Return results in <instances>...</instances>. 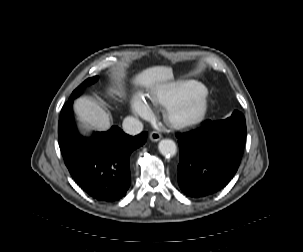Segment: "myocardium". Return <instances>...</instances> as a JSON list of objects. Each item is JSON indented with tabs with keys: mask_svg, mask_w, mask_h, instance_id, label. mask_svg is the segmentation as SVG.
I'll return each instance as SVG.
<instances>
[{
	"mask_svg": "<svg viewBox=\"0 0 303 252\" xmlns=\"http://www.w3.org/2000/svg\"><path fill=\"white\" fill-rule=\"evenodd\" d=\"M208 106V96L203 92H194L184 101L173 104L168 109V120L178 127L192 126L204 117Z\"/></svg>",
	"mask_w": 303,
	"mask_h": 252,
	"instance_id": "obj_1",
	"label": "myocardium"
}]
</instances>
